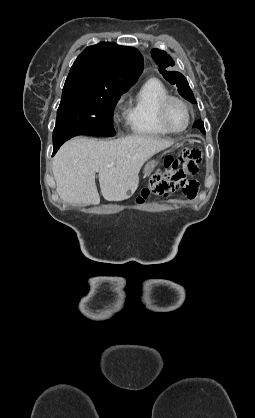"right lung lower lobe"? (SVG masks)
Segmentation results:
<instances>
[{"label": "right lung lower lobe", "instance_id": "98d812e1", "mask_svg": "<svg viewBox=\"0 0 255 418\" xmlns=\"http://www.w3.org/2000/svg\"><path fill=\"white\" fill-rule=\"evenodd\" d=\"M72 137H65V138H61L59 140H55L53 141V145H54V150H53V155L57 152V150L59 149V147L67 140H69Z\"/></svg>", "mask_w": 255, "mask_h": 418}]
</instances>
